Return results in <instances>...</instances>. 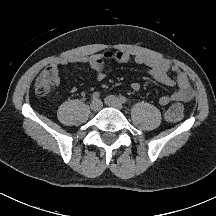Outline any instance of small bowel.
I'll return each instance as SVG.
<instances>
[{
    "mask_svg": "<svg viewBox=\"0 0 216 216\" xmlns=\"http://www.w3.org/2000/svg\"><path fill=\"white\" fill-rule=\"evenodd\" d=\"M107 61H115L117 63L134 62L138 65L147 67L148 74L157 82L170 86L177 87L171 95H163L159 98V104L166 106L171 102L180 101L188 102L193 98V90L190 86L189 80L185 73L175 64L169 61L146 55V54H130L125 51H107L100 54L91 56H74L54 59L45 71L52 72L54 76V83L59 86L61 83L60 68L63 66L75 65H88L95 73L96 80L101 81L106 76L105 65ZM175 74L172 78L169 73ZM131 89L135 92L140 91L141 85L138 82L131 83ZM76 89L71 88L70 92L75 93Z\"/></svg>",
    "mask_w": 216,
    "mask_h": 216,
    "instance_id": "1",
    "label": "small bowel"
}]
</instances>
